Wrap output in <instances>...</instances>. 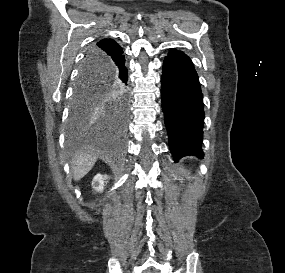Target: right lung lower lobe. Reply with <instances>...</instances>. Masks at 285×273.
Listing matches in <instances>:
<instances>
[{"instance_id":"right-lung-lower-lobe-1","label":"right lung lower lobe","mask_w":285,"mask_h":273,"mask_svg":"<svg viewBox=\"0 0 285 273\" xmlns=\"http://www.w3.org/2000/svg\"><path fill=\"white\" fill-rule=\"evenodd\" d=\"M105 59H106V62L109 64V67L112 71V74L115 80L120 85L125 87L128 81V70L125 67V58L123 55V51L119 55L108 57V58L105 57Z\"/></svg>"}]
</instances>
